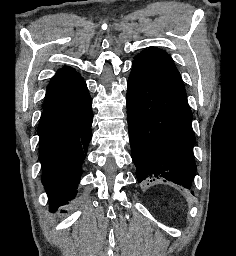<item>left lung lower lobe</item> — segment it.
Listing matches in <instances>:
<instances>
[{"mask_svg": "<svg viewBox=\"0 0 236 256\" xmlns=\"http://www.w3.org/2000/svg\"><path fill=\"white\" fill-rule=\"evenodd\" d=\"M127 118L138 182L171 181L190 189L196 173L195 135L186 95L132 70Z\"/></svg>", "mask_w": 236, "mask_h": 256, "instance_id": "obj_1", "label": "left lung lower lobe"}]
</instances>
